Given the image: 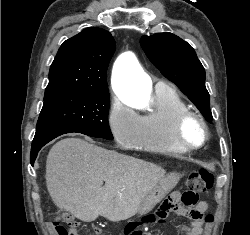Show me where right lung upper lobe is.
<instances>
[{
  "label": "right lung upper lobe",
  "mask_w": 250,
  "mask_h": 235,
  "mask_svg": "<svg viewBox=\"0 0 250 235\" xmlns=\"http://www.w3.org/2000/svg\"><path fill=\"white\" fill-rule=\"evenodd\" d=\"M115 51L112 35L90 27L63 42L50 67L45 96L68 91L108 90L106 72Z\"/></svg>",
  "instance_id": "1"
}]
</instances>
